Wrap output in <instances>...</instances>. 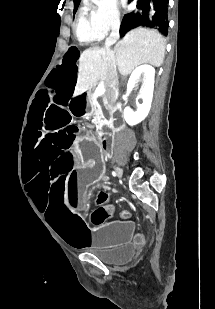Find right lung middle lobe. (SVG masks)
<instances>
[{
	"instance_id": "obj_1",
	"label": "right lung middle lobe",
	"mask_w": 215,
	"mask_h": 309,
	"mask_svg": "<svg viewBox=\"0 0 215 309\" xmlns=\"http://www.w3.org/2000/svg\"><path fill=\"white\" fill-rule=\"evenodd\" d=\"M130 1V0H129ZM79 2H80V0H78V2L77 3H74L75 5H74V12H76V10H77V7H78V5H79Z\"/></svg>"
}]
</instances>
